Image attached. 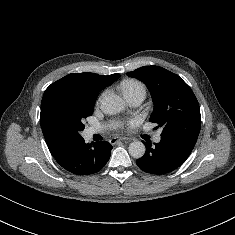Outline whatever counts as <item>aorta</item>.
<instances>
[{"label":"aorta","instance_id":"aorta-1","mask_svg":"<svg viewBox=\"0 0 235 235\" xmlns=\"http://www.w3.org/2000/svg\"><path fill=\"white\" fill-rule=\"evenodd\" d=\"M102 110L110 115L120 113L124 107V100L115 94H109L102 100L101 103ZM129 154L136 159H139L144 156L146 148L141 141H134L130 143L128 147Z\"/></svg>","mask_w":235,"mask_h":235}]
</instances>
